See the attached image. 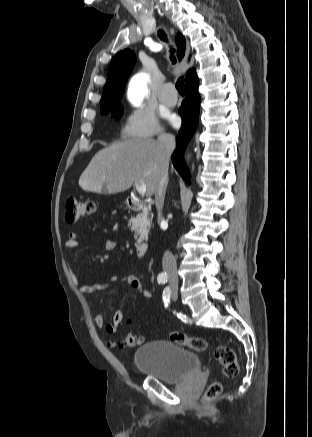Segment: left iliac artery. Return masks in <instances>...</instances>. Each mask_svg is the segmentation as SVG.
Wrapping results in <instances>:
<instances>
[{"label": "left iliac artery", "instance_id": "44dca946", "mask_svg": "<svg viewBox=\"0 0 312 437\" xmlns=\"http://www.w3.org/2000/svg\"><path fill=\"white\" fill-rule=\"evenodd\" d=\"M170 295H171V290L169 287H166L163 291V301H164L166 306L170 302Z\"/></svg>", "mask_w": 312, "mask_h": 437}]
</instances>
